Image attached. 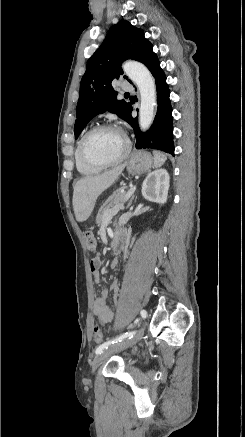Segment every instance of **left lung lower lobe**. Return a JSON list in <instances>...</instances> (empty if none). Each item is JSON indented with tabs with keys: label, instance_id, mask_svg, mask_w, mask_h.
<instances>
[{
	"label": "left lung lower lobe",
	"instance_id": "left-lung-lower-lobe-1",
	"mask_svg": "<svg viewBox=\"0 0 245 437\" xmlns=\"http://www.w3.org/2000/svg\"><path fill=\"white\" fill-rule=\"evenodd\" d=\"M151 71L157 87V114L149 131L143 133L138 127V119L131 116L130 106L126 121L133 127L136 136L137 149H159L174 156L172 107L170 91L166 83V76L160 67L156 54L150 49L141 61Z\"/></svg>",
	"mask_w": 245,
	"mask_h": 437
}]
</instances>
